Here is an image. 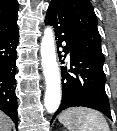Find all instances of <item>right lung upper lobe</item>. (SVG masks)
<instances>
[{"label": "right lung upper lobe", "mask_w": 117, "mask_h": 131, "mask_svg": "<svg viewBox=\"0 0 117 131\" xmlns=\"http://www.w3.org/2000/svg\"><path fill=\"white\" fill-rule=\"evenodd\" d=\"M17 20V0H0V38L11 34L18 29Z\"/></svg>", "instance_id": "right-lung-upper-lobe-1"}]
</instances>
